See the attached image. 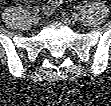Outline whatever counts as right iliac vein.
Wrapping results in <instances>:
<instances>
[{
  "instance_id": "1",
  "label": "right iliac vein",
  "mask_w": 111,
  "mask_h": 106,
  "mask_svg": "<svg viewBox=\"0 0 111 106\" xmlns=\"http://www.w3.org/2000/svg\"><path fill=\"white\" fill-rule=\"evenodd\" d=\"M31 21L33 24H37L39 22V16L37 14L33 15Z\"/></svg>"
}]
</instances>
